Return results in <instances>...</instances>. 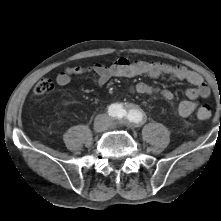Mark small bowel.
<instances>
[{"label": "small bowel", "mask_w": 221, "mask_h": 221, "mask_svg": "<svg viewBox=\"0 0 221 221\" xmlns=\"http://www.w3.org/2000/svg\"><path fill=\"white\" fill-rule=\"evenodd\" d=\"M91 74L92 80L98 86L105 85L114 77H135L145 75L149 77L169 76L175 80L186 81L192 86L185 90L186 100L181 101L176 112L181 117L193 114L198 106V99L210 96V88L203 77L195 71L184 66L171 65L155 61L130 60L127 57H119L113 63L106 65L96 63L92 66H70L57 74L56 83L66 86L72 77ZM130 94H158L166 101H172L174 94L165 88L152 86L146 83H137L129 88Z\"/></svg>", "instance_id": "1"}]
</instances>
